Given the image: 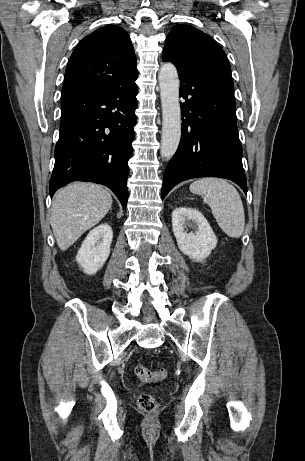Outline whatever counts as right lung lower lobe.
I'll return each instance as SVG.
<instances>
[{"label": "right lung lower lobe", "mask_w": 305, "mask_h": 461, "mask_svg": "<svg viewBox=\"0 0 305 461\" xmlns=\"http://www.w3.org/2000/svg\"><path fill=\"white\" fill-rule=\"evenodd\" d=\"M135 80L105 92L62 99L51 197L72 181L95 182L109 187L126 209L136 124Z\"/></svg>", "instance_id": "1"}]
</instances>
